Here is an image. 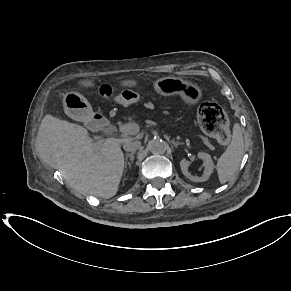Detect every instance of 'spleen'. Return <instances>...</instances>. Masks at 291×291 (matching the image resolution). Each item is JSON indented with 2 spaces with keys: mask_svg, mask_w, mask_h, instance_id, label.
Returning <instances> with one entry per match:
<instances>
[{
  "mask_svg": "<svg viewBox=\"0 0 291 291\" xmlns=\"http://www.w3.org/2000/svg\"><path fill=\"white\" fill-rule=\"evenodd\" d=\"M243 155V133L240 125L236 123L233 126L232 140L216 165L220 183L224 184L233 177L240 166Z\"/></svg>",
  "mask_w": 291,
  "mask_h": 291,
  "instance_id": "spleen-1",
  "label": "spleen"
}]
</instances>
